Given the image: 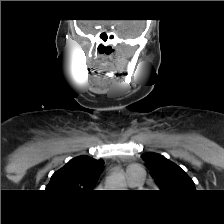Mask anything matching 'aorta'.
<instances>
[{
  "instance_id": "aorta-1",
  "label": "aorta",
  "mask_w": 224,
  "mask_h": 224,
  "mask_svg": "<svg viewBox=\"0 0 224 224\" xmlns=\"http://www.w3.org/2000/svg\"><path fill=\"white\" fill-rule=\"evenodd\" d=\"M108 188H113L110 190H121L124 187L123 176L119 171H115L108 179Z\"/></svg>"
}]
</instances>
